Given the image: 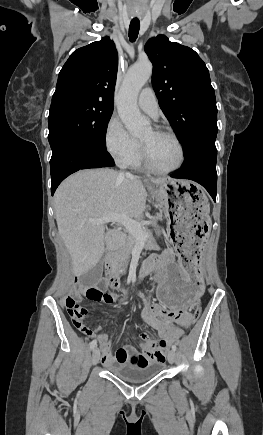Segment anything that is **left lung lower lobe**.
Returning a JSON list of instances; mask_svg holds the SVG:
<instances>
[{
    "instance_id": "1",
    "label": "left lung lower lobe",
    "mask_w": 263,
    "mask_h": 435,
    "mask_svg": "<svg viewBox=\"0 0 263 435\" xmlns=\"http://www.w3.org/2000/svg\"><path fill=\"white\" fill-rule=\"evenodd\" d=\"M181 170L171 175L173 178L190 179L201 184L216 201V160L215 139L200 141L184 153Z\"/></svg>"
}]
</instances>
